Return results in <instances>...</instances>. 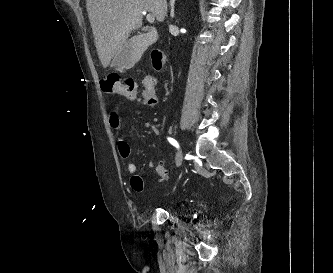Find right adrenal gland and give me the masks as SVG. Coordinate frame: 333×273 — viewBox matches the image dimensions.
I'll return each mask as SVG.
<instances>
[{
    "mask_svg": "<svg viewBox=\"0 0 333 273\" xmlns=\"http://www.w3.org/2000/svg\"><path fill=\"white\" fill-rule=\"evenodd\" d=\"M175 1L176 0H170V7H171V11H170V17L174 18L175 17Z\"/></svg>",
    "mask_w": 333,
    "mask_h": 273,
    "instance_id": "2a0ac1e0",
    "label": "right adrenal gland"
}]
</instances>
